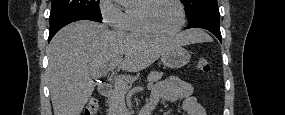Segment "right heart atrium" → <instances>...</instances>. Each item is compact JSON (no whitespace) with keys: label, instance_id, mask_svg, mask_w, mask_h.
Masks as SVG:
<instances>
[{"label":"right heart atrium","instance_id":"1","mask_svg":"<svg viewBox=\"0 0 285 115\" xmlns=\"http://www.w3.org/2000/svg\"><path fill=\"white\" fill-rule=\"evenodd\" d=\"M100 11L103 21L117 29L123 30L124 11L114 0H102Z\"/></svg>","mask_w":285,"mask_h":115}]
</instances>
